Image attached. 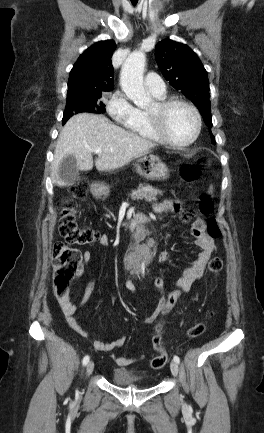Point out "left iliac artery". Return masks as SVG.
Listing matches in <instances>:
<instances>
[{
    "instance_id": "1",
    "label": "left iliac artery",
    "mask_w": 264,
    "mask_h": 433,
    "mask_svg": "<svg viewBox=\"0 0 264 433\" xmlns=\"http://www.w3.org/2000/svg\"><path fill=\"white\" fill-rule=\"evenodd\" d=\"M173 359H174V361H175V362H177V363H179V362H180V358H179L178 356H176V355L174 356V358H173Z\"/></svg>"
}]
</instances>
